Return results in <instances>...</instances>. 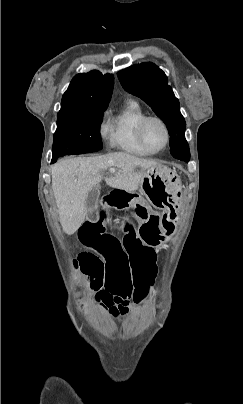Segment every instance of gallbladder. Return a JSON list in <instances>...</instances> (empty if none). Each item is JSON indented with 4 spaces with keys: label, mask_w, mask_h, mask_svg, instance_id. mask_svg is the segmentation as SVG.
Masks as SVG:
<instances>
[{
    "label": "gallbladder",
    "mask_w": 243,
    "mask_h": 404,
    "mask_svg": "<svg viewBox=\"0 0 243 404\" xmlns=\"http://www.w3.org/2000/svg\"><path fill=\"white\" fill-rule=\"evenodd\" d=\"M100 192L98 188H92L86 198L85 212L86 217L89 219V223L94 225L96 223L98 214L96 213V206L99 200Z\"/></svg>",
    "instance_id": "gallbladder-1"
}]
</instances>
